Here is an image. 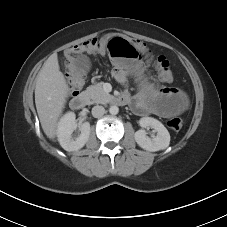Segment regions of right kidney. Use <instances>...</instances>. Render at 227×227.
<instances>
[{
    "instance_id": "obj_1",
    "label": "right kidney",
    "mask_w": 227,
    "mask_h": 227,
    "mask_svg": "<svg viewBox=\"0 0 227 227\" xmlns=\"http://www.w3.org/2000/svg\"><path fill=\"white\" fill-rule=\"evenodd\" d=\"M77 128L74 112H67L58 122L57 137L60 145L66 151H77L81 149L89 139L90 123L84 122L80 126L81 134L77 138L72 137Z\"/></svg>"
}]
</instances>
